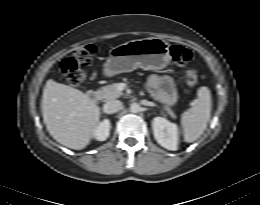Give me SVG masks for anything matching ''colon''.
<instances>
[{"label": "colon", "mask_w": 260, "mask_h": 205, "mask_svg": "<svg viewBox=\"0 0 260 205\" xmlns=\"http://www.w3.org/2000/svg\"><path fill=\"white\" fill-rule=\"evenodd\" d=\"M95 47L92 44L77 48L70 57L63 59L61 70L71 86H79L86 79L83 66L91 63L95 55ZM173 60L179 65H189L192 61V52L182 46L173 45L170 49ZM185 81L188 86H195L198 81V74L194 68H189L185 74Z\"/></svg>", "instance_id": "colon-1"}]
</instances>
